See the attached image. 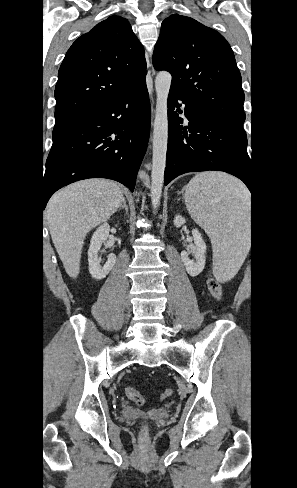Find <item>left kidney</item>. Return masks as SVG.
<instances>
[{
  "label": "left kidney",
  "mask_w": 297,
  "mask_h": 488,
  "mask_svg": "<svg viewBox=\"0 0 297 488\" xmlns=\"http://www.w3.org/2000/svg\"><path fill=\"white\" fill-rule=\"evenodd\" d=\"M186 222L185 218L181 215H176L174 219V224L176 227L182 226ZM192 235L194 238L195 249L192 250L193 254L195 255L196 261L189 259L190 252L183 251L181 252V260L185 265L187 273L195 277L199 275L204 267H205V253H206V244L202 238L201 233L197 229L192 230Z\"/></svg>",
  "instance_id": "5707ae66"
}]
</instances>
